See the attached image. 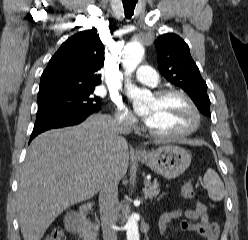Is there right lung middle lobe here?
<instances>
[{"instance_id": "1", "label": "right lung middle lobe", "mask_w": 248, "mask_h": 240, "mask_svg": "<svg viewBox=\"0 0 248 240\" xmlns=\"http://www.w3.org/2000/svg\"><path fill=\"white\" fill-rule=\"evenodd\" d=\"M94 88L38 96V109L63 108L73 111H99L101 101L93 95Z\"/></svg>"}]
</instances>
